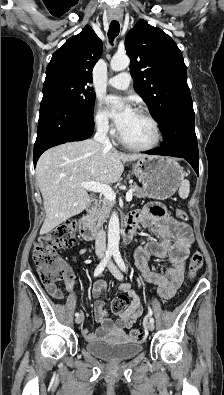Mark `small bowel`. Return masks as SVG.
Here are the masks:
<instances>
[{"instance_id": "c3829d8e", "label": "small bowel", "mask_w": 224, "mask_h": 395, "mask_svg": "<svg viewBox=\"0 0 224 395\" xmlns=\"http://www.w3.org/2000/svg\"><path fill=\"white\" fill-rule=\"evenodd\" d=\"M138 222L148 226L151 231L159 237L158 240H150L137 248L135 251V263L144 280L158 286V295L165 300L172 298L181 285L186 260L190 253L193 240L190 227L175 220L168 211L157 203L148 204L142 211L136 212ZM157 258L168 260L171 265L165 274L151 270L149 260ZM75 260V258H73ZM65 286L72 292L75 287V279L69 271V277L65 280ZM47 291L55 298L61 299L62 290L55 284H45ZM120 291L126 293L130 298L129 305L120 313L117 320L112 321L103 315V303L98 298L106 290V282L99 280L93 288L95 298V318L101 323L96 333L90 332L87 327L82 328L84 337L89 340L105 338L111 332H120L129 329L143 313L140 296L129 284H121Z\"/></svg>"}]
</instances>
